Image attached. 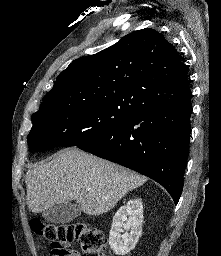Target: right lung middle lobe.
Segmentation results:
<instances>
[{"label": "right lung middle lobe", "instance_id": "obj_1", "mask_svg": "<svg viewBox=\"0 0 221 256\" xmlns=\"http://www.w3.org/2000/svg\"><path fill=\"white\" fill-rule=\"evenodd\" d=\"M136 116L132 110L108 104H82L32 116L30 149L78 146Z\"/></svg>", "mask_w": 221, "mask_h": 256}]
</instances>
